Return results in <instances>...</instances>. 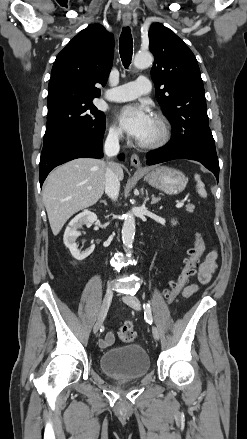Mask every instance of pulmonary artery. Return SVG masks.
Here are the masks:
<instances>
[{"label": "pulmonary artery", "instance_id": "pulmonary-artery-1", "mask_svg": "<svg viewBox=\"0 0 247 439\" xmlns=\"http://www.w3.org/2000/svg\"><path fill=\"white\" fill-rule=\"evenodd\" d=\"M151 82L146 77H139L136 81L120 85L108 90L105 94L106 99L114 102H124L133 100L143 94L149 93Z\"/></svg>", "mask_w": 247, "mask_h": 439}]
</instances>
